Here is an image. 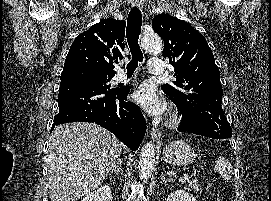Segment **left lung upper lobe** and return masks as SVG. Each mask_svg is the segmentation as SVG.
Listing matches in <instances>:
<instances>
[{"mask_svg": "<svg viewBox=\"0 0 271 201\" xmlns=\"http://www.w3.org/2000/svg\"><path fill=\"white\" fill-rule=\"evenodd\" d=\"M152 28L164 41V57L175 67L174 86L165 84L162 90L182 113L181 124L203 136L231 137L222 109L220 72L205 37L185 21L165 14L153 18Z\"/></svg>", "mask_w": 271, "mask_h": 201, "instance_id": "1", "label": "left lung upper lobe"}]
</instances>
